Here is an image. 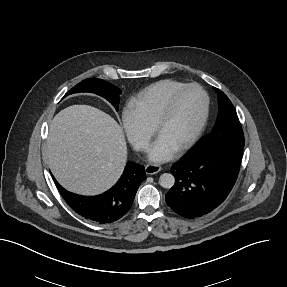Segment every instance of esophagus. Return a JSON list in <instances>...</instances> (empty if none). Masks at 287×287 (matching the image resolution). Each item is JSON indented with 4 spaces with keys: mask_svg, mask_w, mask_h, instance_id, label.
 <instances>
[{
    "mask_svg": "<svg viewBox=\"0 0 287 287\" xmlns=\"http://www.w3.org/2000/svg\"><path fill=\"white\" fill-rule=\"evenodd\" d=\"M161 166L157 164H148L145 167V172L148 175H153L161 171Z\"/></svg>",
    "mask_w": 287,
    "mask_h": 287,
    "instance_id": "34e87169",
    "label": "esophagus"
}]
</instances>
